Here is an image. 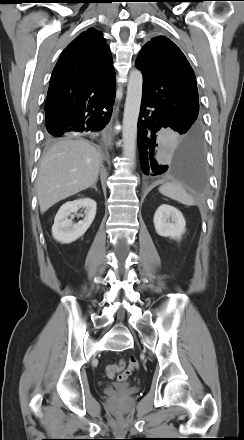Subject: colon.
Returning <instances> with one entry per match:
<instances>
[{
    "mask_svg": "<svg viewBox=\"0 0 244 440\" xmlns=\"http://www.w3.org/2000/svg\"><path fill=\"white\" fill-rule=\"evenodd\" d=\"M126 363L121 361L118 364L108 365L105 368V373L108 378H114L117 373V380L120 382L126 381L130 376L131 372L139 367L138 359L135 356H131L129 358L127 367L125 368Z\"/></svg>",
    "mask_w": 244,
    "mask_h": 440,
    "instance_id": "colon-1",
    "label": "colon"
}]
</instances>
